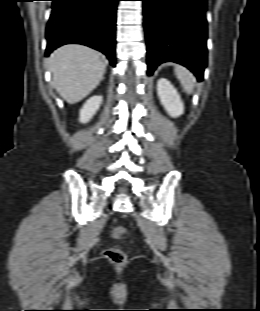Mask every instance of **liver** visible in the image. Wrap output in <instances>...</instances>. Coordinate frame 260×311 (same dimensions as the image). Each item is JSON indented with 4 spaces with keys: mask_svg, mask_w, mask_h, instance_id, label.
I'll use <instances>...</instances> for the list:
<instances>
[{
    "mask_svg": "<svg viewBox=\"0 0 260 311\" xmlns=\"http://www.w3.org/2000/svg\"><path fill=\"white\" fill-rule=\"evenodd\" d=\"M47 63L54 88L70 104L93 91L105 73L100 53L83 45H64L51 54Z\"/></svg>",
    "mask_w": 260,
    "mask_h": 311,
    "instance_id": "1",
    "label": "liver"
}]
</instances>
